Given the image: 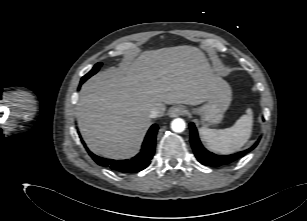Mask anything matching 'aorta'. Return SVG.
<instances>
[{
  "label": "aorta",
  "mask_w": 307,
  "mask_h": 221,
  "mask_svg": "<svg viewBox=\"0 0 307 221\" xmlns=\"http://www.w3.org/2000/svg\"><path fill=\"white\" fill-rule=\"evenodd\" d=\"M186 123L181 118H176L171 122V129L176 133H181L185 130Z\"/></svg>",
  "instance_id": "aorta-1"
}]
</instances>
